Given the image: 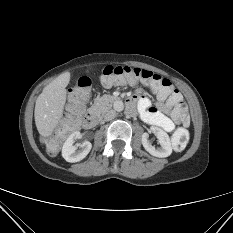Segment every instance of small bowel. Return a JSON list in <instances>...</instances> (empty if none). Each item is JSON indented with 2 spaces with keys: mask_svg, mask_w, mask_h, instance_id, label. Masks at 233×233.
Segmentation results:
<instances>
[{
  "mask_svg": "<svg viewBox=\"0 0 233 233\" xmlns=\"http://www.w3.org/2000/svg\"><path fill=\"white\" fill-rule=\"evenodd\" d=\"M136 98L138 100L140 116L145 122L157 126L166 132L174 130L175 123L170 117L172 114V107L168 102L159 99L158 104L152 106L150 100L146 96L140 95Z\"/></svg>",
  "mask_w": 233,
  "mask_h": 233,
  "instance_id": "c3829d8e",
  "label": "small bowel"
}]
</instances>
